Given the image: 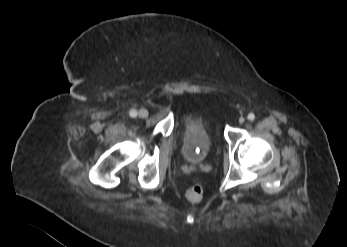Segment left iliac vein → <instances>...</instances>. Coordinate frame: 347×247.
<instances>
[{
	"mask_svg": "<svg viewBox=\"0 0 347 247\" xmlns=\"http://www.w3.org/2000/svg\"><path fill=\"white\" fill-rule=\"evenodd\" d=\"M244 122H245V119H244L243 117H240V118H239V123L242 124V123H244Z\"/></svg>",
	"mask_w": 347,
	"mask_h": 247,
	"instance_id": "obj_1",
	"label": "left iliac vein"
}]
</instances>
